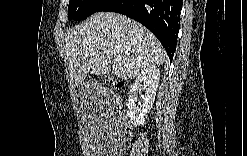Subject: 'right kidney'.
<instances>
[{"label":"right kidney","instance_id":"obj_1","mask_svg":"<svg viewBox=\"0 0 247 156\" xmlns=\"http://www.w3.org/2000/svg\"><path fill=\"white\" fill-rule=\"evenodd\" d=\"M159 78V69L156 66H149L139 73L135 83L130 89L127 103V116L135 126L144 125L155 100ZM141 89L144 90V94L141 96L142 103L136 106L137 92Z\"/></svg>","mask_w":247,"mask_h":156}]
</instances>
